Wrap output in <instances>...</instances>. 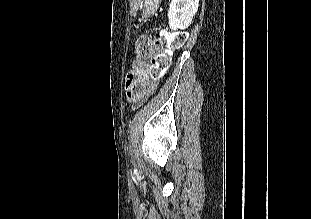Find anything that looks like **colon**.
<instances>
[{
	"label": "colon",
	"instance_id": "1",
	"mask_svg": "<svg viewBox=\"0 0 311 219\" xmlns=\"http://www.w3.org/2000/svg\"><path fill=\"white\" fill-rule=\"evenodd\" d=\"M185 41L184 32L161 31L158 37L141 36L136 44V63L134 70L145 69L151 78L158 79L169 62V55L163 46L170 50L179 48Z\"/></svg>",
	"mask_w": 311,
	"mask_h": 219
}]
</instances>
